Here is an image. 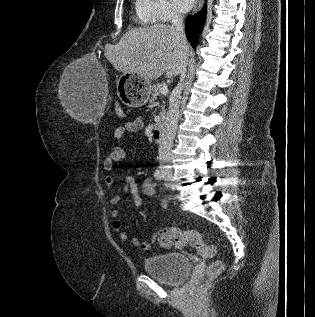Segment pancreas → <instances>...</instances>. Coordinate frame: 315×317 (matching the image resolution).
Here are the masks:
<instances>
[{"label":"pancreas","mask_w":315,"mask_h":317,"mask_svg":"<svg viewBox=\"0 0 315 317\" xmlns=\"http://www.w3.org/2000/svg\"><path fill=\"white\" fill-rule=\"evenodd\" d=\"M163 87L164 86L161 84L154 85V87L152 88V97L150 99V102L154 103L157 100L158 96H160L161 94V89Z\"/></svg>","instance_id":"pancreas-1"}]
</instances>
